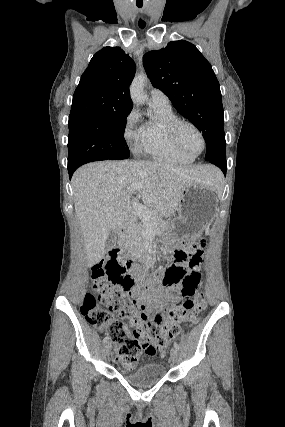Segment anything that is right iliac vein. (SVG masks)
Instances as JSON below:
<instances>
[{
  "mask_svg": "<svg viewBox=\"0 0 285 427\" xmlns=\"http://www.w3.org/2000/svg\"><path fill=\"white\" fill-rule=\"evenodd\" d=\"M111 348H112V345H111V343H110V342H108V343H106V344H105V346H104V351H105L106 355H109V354H110V352H111Z\"/></svg>",
  "mask_w": 285,
  "mask_h": 427,
  "instance_id": "1",
  "label": "right iliac vein"
}]
</instances>
